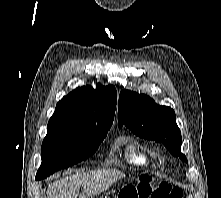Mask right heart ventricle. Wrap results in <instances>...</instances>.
<instances>
[{"instance_id": "right-heart-ventricle-1", "label": "right heart ventricle", "mask_w": 221, "mask_h": 198, "mask_svg": "<svg viewBox=\"0 0 221 198\" xmlns=\"http://www.w3.org/2000/svg\"><path fill=\"white\" fill-rule=\"evenodd\" d=\"M123 152L127 163L134 166L146 167L155 161V152L133 138L125 141Z\"/></svg>"}]
</instances>
